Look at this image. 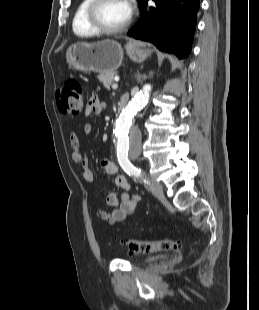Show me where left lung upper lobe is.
I'll use <instances>...</instances> for the list:
<instances>
[{"instance_id":"5c2ea615","label":"left lung upper lobe","mask_w":259,"mask_h":310,"mask_svg":"<svg viewBox=\"0 0 259 310\" xmlns=\"http://www.w3.org/2000/svg\"><path fill=\"white\" fill-rule=\"evenodd\" d=\"M138 1V3H140L142 0H137Z\"/></svg>"}]
</instances>
